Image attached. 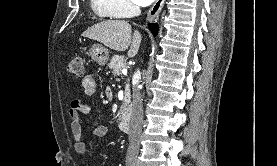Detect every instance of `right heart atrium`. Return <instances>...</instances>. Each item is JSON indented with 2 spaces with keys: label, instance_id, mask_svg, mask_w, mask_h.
<instances>
[{
  "label": "right heart atrium",
  "instance_id": "right-heart-atrium-1",
  "mask_svg": "<svg viewBox=\"0 0 277 166\" xmlns=\"http://www.w3.org/2000/svg\"><path fill=\"white\" fill-rule=\"evenodd\" d=\"M114 13L119 17L129 16L136 12L132 0H108Z\"/></svg>",
  "mask_w": 277,
  "mask_h": 166
}]
</instances>
